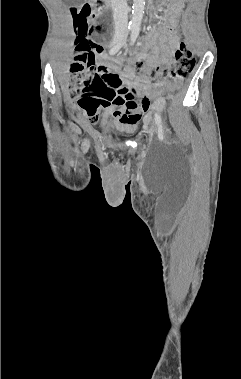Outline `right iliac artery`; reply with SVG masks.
<instances>
[{"label":"right iliac artery","instance_id":"right-iliac-artery-1","mask_svg":"<svg viewBox=\"0 0 241 379\" xmlns=\"http://www.w3.org/2000/svg\"><path fill=\"white\" fill-rule=\"evenodd\" d=\"M130 28L128 29L127 33L125 34V36L121 39V41H119V43H117L114 47L111 48L110 50V54L113 55L115 53H117L119 51V49L122 47V45L124 44L125 42V39L128 35V33L130 32Z\"/></svg>","mask_w":241,"mask_h":379}]
</instances>
